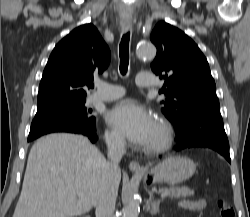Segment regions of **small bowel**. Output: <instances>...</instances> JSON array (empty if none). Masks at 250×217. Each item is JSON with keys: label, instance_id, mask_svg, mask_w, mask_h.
<instances>
[{"label": "small bowel", "instance_id": "obj_1", "mask_svg": "<svg viewBox=\"0 0 250 217\" xmlns=\"http://www.w3.org/2000/svg\"><path fill=\"white\" fill-rule=\"evenodd\" d=\"M181 207L190 212H199L206 207V202L203 199L183 200L180 203Z\"/></svg>", "mask_w": 250, "mask_h": 217}]
</instances>
